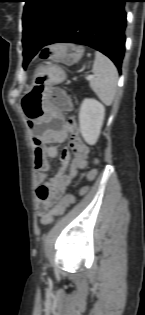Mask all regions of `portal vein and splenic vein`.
Instances as JSON below:
<instances>
[{
  "label": "portal vein and splenic vein",
  "mask_w": 145,
  "mask_h": 315,
  "mask_svg": "<svg viewBox=\"0 0 145 315\" xmlns=\"http://www.w3.org/2000/svg\"><path fill=\"white\" fill-rule=\"evenodd\" d=\"M93 78H94V75H88V76L86 77L87 80H92Z\"/></svg>",
  "instance_id": "obj_1"
}]
</instances>
